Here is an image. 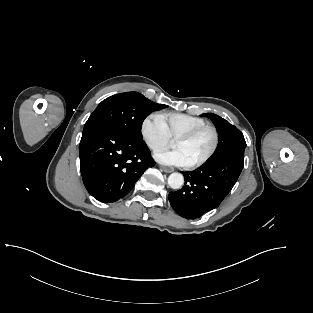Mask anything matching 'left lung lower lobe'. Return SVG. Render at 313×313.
Segmentation results:
<instances>
[{
	"instance_id": "obj_1",
	"label": "left lung lower lobe",
	"mask_w": 313,
	"mask_h": 313,
	"mask_svg": "<svg viewBox=\"0 0 313 313\" xmlns=\"http://www.w3.org/2000/svg\"><path fill=\"white\" fill-rule=\"evenodd\" d=\"M243 164L244 151H233L194 171L182 172L185 185L169 193L172 208L186 219H196L218 207L236 183Z\"/></svg>"
}]
</instances>
